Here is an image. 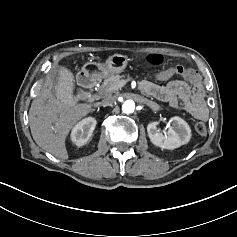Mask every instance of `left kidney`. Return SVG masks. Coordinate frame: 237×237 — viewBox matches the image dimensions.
I'll use <instances>...</instances> for the list:
<instances>
[{
    "label": "left kidney",
    "instance_id": "5707ae66",
    "mask_svg": "<svg viewBox=\"0 0 237 237\" xmlns=\"http://www.w3.org/2000/svg\"><path fill=\"white\" fill-rule=\"evenodd\" d=\"M171 120L173 121V126L169 128L167 135L159 132L157 129L158 122L148 124V136L154 145L163 149L173 150L190 141L191 128L188 123L178 116L172 117Z\"/></svg>",
    "mask_w": 237,
    "mask_h": 237
}]
</instances>
